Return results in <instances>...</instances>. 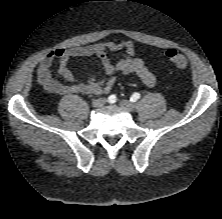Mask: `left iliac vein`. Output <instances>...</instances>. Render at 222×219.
I'll return each instance as SVG.
<instances>
[{
  "instance_id": "left-iliac-vein-1",
  "label": "left iliac vein",
  "mask_w": 222,
  "mask_h": 219,
  "mask_svg": "<svg viewBox=\"0 0 222 219\" xmlns=\"http://www.w3.org/2000/svg\"><path fill=\"white\" fill-rule=\"evenodd\" d=\"M120 106L127 110L128 112H133L135 110V105L129 100H122Z\"/></svg>"
}]
</instances>
